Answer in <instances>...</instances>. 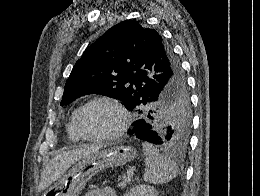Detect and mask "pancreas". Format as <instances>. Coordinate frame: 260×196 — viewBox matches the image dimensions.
<instances>
[{"label": "pancreas", "mask_w": 260, "mask_h": 196, "mask_svg": "<svg viewBox=\"0 0 260 196\" xmlns=\"http://www.w3.org/2000/svg\"><path fill=\"white\" fill-rule=\"evenodd\" d=\"M131 178H128L126 174H122V176H119L117 182H119L118 186L119 188H126V184H129Z\"/></svg>", "instance_id": "cf45deb5"}]
</instances>
